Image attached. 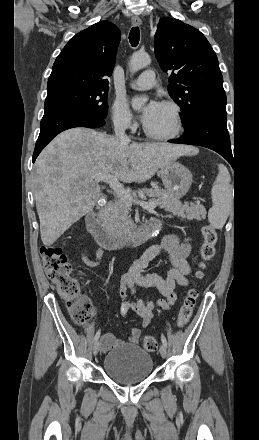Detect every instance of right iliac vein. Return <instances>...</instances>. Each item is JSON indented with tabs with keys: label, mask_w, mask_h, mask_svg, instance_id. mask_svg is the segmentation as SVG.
Wrapping results in <instances>:
<instances>
[{
	"label": "right iliac vein",
	"mask_w": 259,
	"mask_h": 440,
	"mask_svg": "<svg viewBox=\"0 0 259 440\" xmlns=\"http://www.w3.org/2000/svg\"><path fill=\"white\" fill-rule=\"evenodd\" d=\"M99 349H100V343H99V341L97 340V341L94 343V346H93V354H94L95 356L98 354Z\"/></svg>",
	"instance_id": "right-iliac-vein-1"
}]
</instances>
